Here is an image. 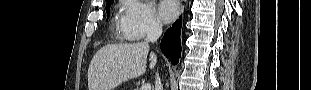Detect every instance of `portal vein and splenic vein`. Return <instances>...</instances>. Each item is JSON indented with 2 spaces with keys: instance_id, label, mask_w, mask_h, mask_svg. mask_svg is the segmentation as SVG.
I'll return each mask as SVG.
<instances>
[{
  "instance_id": "1",
  "label": "portal vein and splenic vein",
  "mask_w": 311,
  "mask_h": 90,
  "mask_svg": "<svg viewBox=\"0 0 311 90\" xmlns=\"http://www.w3.org/2000/svg\"><path fill=\"white\" fill-rule=\"evenodd\" d=\"M140 90H151V85L149 83H145L142 85Z\"/></svg>"
}]
</instances>
